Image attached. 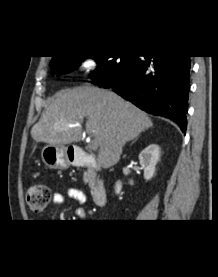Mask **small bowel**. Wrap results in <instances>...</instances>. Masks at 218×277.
<instances>
[{
	"label": "small bowel",
	"mask_w": 218,
	"mask_h": 277,
	"mask_svg": "<svg viewBox=\"0 0 218 277\" xmlns=\"http://www.w3.org/2000/svg\"><path fill=\"white\" fill-rule=\"evenodd\" d=\"M66 197L78 202L81 205L76 209V214L79 218L84 219L85 211L82 205H84L87 202L86 194L81 189H78V188H69L67 189L66 194L59 193V192L54 193L52 196L53 207L55 208L61 207L64 204Z\"/></svg>",
	"instance_id": "small-bowel-1"
}]
</instances>
